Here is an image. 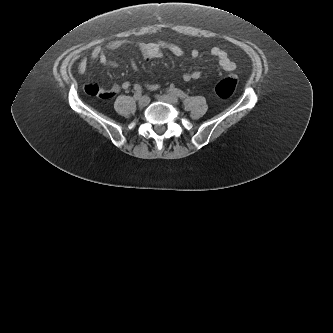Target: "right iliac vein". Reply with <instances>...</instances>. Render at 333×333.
Wrapping results in <instances>:
<instances>
[{
  "label": "right iliac vein",
  "mask_w": 333,
  "mask_h": 333,
  "mask_svg": "<svg viewBox=\"0 0 333 333\" xmlns=\"http://www.w3.org/2000/svg\"><path fill=\"white\" fill-rule=\"evenodd\" d=\"M149 102H150V98L148 96L144 95L139 99L138 105L140 107H145L149 104Z\"/></svg>",
  "instance_id": "obj_1"
}]
</instances>
